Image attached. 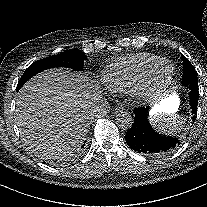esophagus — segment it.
<instances>
[{"label":"esophagus","mask_w":207,"mask_h":207,"mask_svg":"<svg viewBox=\"0 0 207 207\" xmlns=\"http://www.w3.org/2000/svg\"><path fill=\"white\" fill-rule=\"evenodd\" d=\"M125 113V109L121 106H118L114 109V114H123Z\"/></svg>","instance_id":"obj_1"}]
</instances>
